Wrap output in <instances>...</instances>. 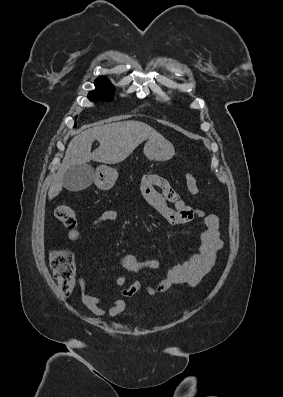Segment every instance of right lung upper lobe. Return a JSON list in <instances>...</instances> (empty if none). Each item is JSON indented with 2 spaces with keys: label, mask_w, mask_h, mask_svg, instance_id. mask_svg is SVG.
<instances>
[{
  "label": "right lung upper lobe",
  "mask_w": 283,
  "mask_h": 397,
  "mask_svg": "<svg viewBox=\"0 0 283 397\" xmlns=\"http://www.w3.org/2000/svg\"><path fill=\"white\" fill-rule=\"evenodd\" d=\"M95 82H110V81L105 77H99Z\"/></svg>",
  "instance_id": "1"
}]
</instances>
